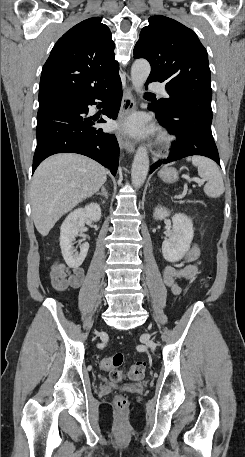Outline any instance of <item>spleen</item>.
Listing matches in <instances>:
<instances>
[{"mask_svg":"<svg viewBox=\"0 0 245 457\" xmlns=\"http://www.w3.org/2000/svg\"><path fill=\"white\" fill-rule=\"evenodd\" d=\"M186 160H191L194 166L198 168L199 176L208 180L204 186V192L207 196L217 198L221 196L225 190L222 174L214 160L207 158V156H199V154H193V156H187ZM174 164V162H170ZM167 166V164H166Z\"/></svg>","mask_w":245,"mask_h":457,"instance_id":"spleen-1","label":"spleen"}]
</instances>
